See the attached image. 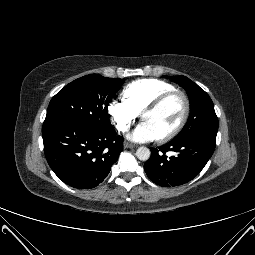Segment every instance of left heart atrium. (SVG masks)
<instances>
[{
    "instance_id": "39dd6f15",
    "label": "left heart atrium",
    "mask_w": 255,
    "mask_h": 255,
    "mask_svg": "<svg viewBox=\"0 0 255 255\" xmlns=\"http://www.w3.org/2000/svg\"><path fill=\"white\" fill-rule=\"evenodd\" d=\"M128 138L134 142H151L159 137L155 131L146 123H140L129 135Z\"/></svg>"
}]
</instances>
